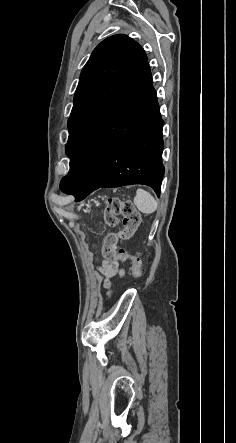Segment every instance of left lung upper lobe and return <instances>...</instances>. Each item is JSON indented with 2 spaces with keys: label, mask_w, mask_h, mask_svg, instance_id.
I'll return each mask as SVG.
<instances>
[{
  "label": "left lung upper lobe",
  "mask_w": 236,
  "mask_h": 443,
  "mask_svg": "<svg viewBox=\"0 0 236 443\" xmlns=\"http://www.w3.org/2000/svg\"><path fill=\"white\" fill-rule=\"evenodd\" d=\"M147 63L144 49L118 34L102 41L84 66L68 120L66 153L71 156L94 122L125 92Z\"/></svg>",
  "instance_id": "5c2ea615"
}]
</instances>
